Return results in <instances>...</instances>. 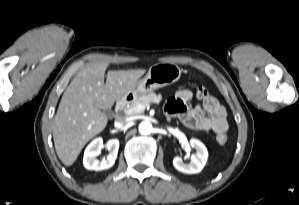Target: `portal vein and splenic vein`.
Listing matches in <instances>:
<instances>
[{"mask_svg": "<svg viewBox=\"0 0 299 205\" xmlns=\"http://www.w3.org/2000/svg\"><path fill=\"white\" fill-rule=\"evenodd\" d=\"M144 109H145V106L140 104V105L137 106L136 111L141 112V111H144Z\"/></svg>", "mask_w": 299, "mask_h": 205, "instance_id": "1", "label": "portal vein and splenic vein"}]
</instances>
